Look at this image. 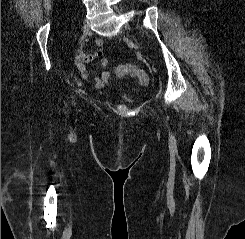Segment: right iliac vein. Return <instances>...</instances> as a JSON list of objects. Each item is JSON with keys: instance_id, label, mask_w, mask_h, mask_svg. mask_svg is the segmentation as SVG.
Wrapping results in <instances>:
<instances>
[{"instance_id": "obj_1", "label": "right iliac vein", "mask_w": 245, "mask_h": 239, "mask_svg": "<svg viewBox=\"0 0 245 239\" xmlns=\"http://www.w3.org/2000/svg\"><path fill=\"white\" fill-rule=\"evenodd\" d=\"M83 35L84 36H87V35H89L90 34V32H91V30H90V26L88 25V24H85L84 26H83Z\"/></svg>"}]
</instances>
